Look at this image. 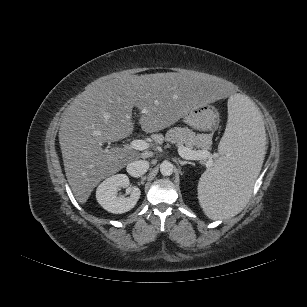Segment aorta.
<instances>
[{
  "mask_svg": "<svg viewBox=\"0 0 307 307\" xmlns=\"http://www.w3.org/2000/svg\"><path fill=\"white\" fill-rule=\"evenodd\" d=\"M174 170V166L171 162L169 161H164L160 165V172L163 176H170L172 175Z\"/></svg>",
  "mask_w": 307,
  "mask_h": 307,
  "instance_id": "762f6f07",
  "label": "aorta"
}]
</instances>
